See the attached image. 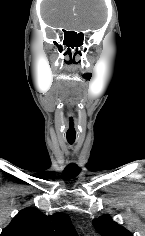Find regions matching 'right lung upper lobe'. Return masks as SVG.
Listing matches in <instances>:
<instances>
[{
	"label": "right lung upper lobe",
	"instance_id": "obj_1",
	"mask_svg": "<svg viewBox=\"0 0 145 236\" xmlns=\"http://www.w3.org/2000/svg\"><path fill=\"white\" fill-rule=\"evenodd\" d=\"M0 236H78L70 218L61 212L46 216L35 208L21 210Z\"/></svg>",
	"mask_w": 145,
	"mask_h": 236
}]
</instances>
